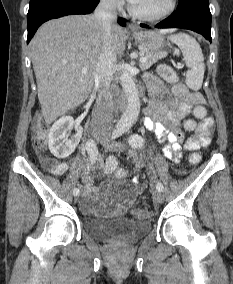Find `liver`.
I'll return each instance as SVG.
<instances>
[{
  "label": "liver",
  "mask_w": 233,
  "mask_h": 284,
  "mask_svg": "<svg viewBox=\"0 0 233 284\" xmlns=\"http://www.w3.org/2000/svg\"><path fill=\"white\" fill-rule=\"evenodd\" d=\"M104 31L93 15H71L44 23L31 41L38 99L47 124L81 105L94 85ZM126 31L114 24L111 42L121 56ZM87 68L83 73L82 69Z\"/></svg>",
  "instance_id": "1"
}]
</instances>
